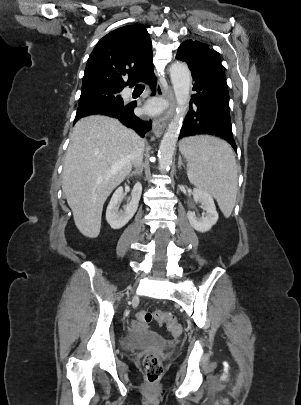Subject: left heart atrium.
Returning <instances> with one entry per match:
<instances>
[{
    "label": "left heart atrium",
    "mask_w": 301,
    "mask_h": 405,
    "mask_svg": "<svg viewBox=\"0 0 301 405\" xmlns=\"http://www.w3.org/2000/svg\"><path fill=\"white\" fill-rule=\"evenodd\" d=\"M161 106L157 102H151L147 105L146 110L152 113L158 112Z\"/></svg>",
    "instance_id": "left-heart-atrium-1"
}]
</instances>
